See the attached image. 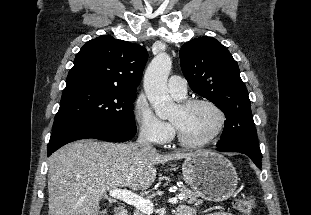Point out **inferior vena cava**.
I'll return each instance as SVG.
<instances>
[{"label":"inferior vena cava","instance_id":"602c4592","mask_svg":"<svg viewBox=\"0 0 311 215\" xmlns=\"http://www.w3.org/2000/svg\"><path fill=\"white\" fill-rule=\"evenodd\" d=\"M136 144L141 149L153 148L151 133L149 132L148 129H146V128L141 129L139 136H138V139L136 141Z\"/></svg>","mask_w":311,"mask_h":215}]
</instances>
